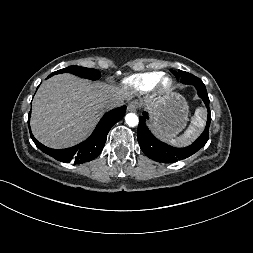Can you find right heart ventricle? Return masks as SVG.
I'll use <instances>...</instances> for the list:
<instances>
[{
    "label": "right heart ventricle",
    "mask_w": 253,
    "mask_h": 253,
    "mask_svg": "<svg viewBox=\"0 0 253 253\" xmlns=\"http://www.w3.org/2000/svg\"><path fill=\"white\" fill-rule=\"evenodd\" d=\"M162 72H146L132 75L124 80V84L137 94H143L153 89Z\"/></svg>",
    "instance_id": "right-heart-ventricle-1"
}]
</instances>
